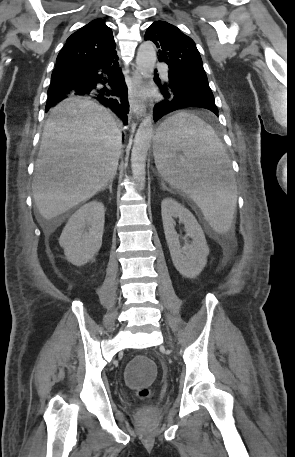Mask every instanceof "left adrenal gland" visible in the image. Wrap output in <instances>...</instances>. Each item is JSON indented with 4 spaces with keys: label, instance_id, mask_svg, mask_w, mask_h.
Listing matches in <instances>:
<instances>
[{
    "label": "left adrenal gland",
    "instance_id": "left-adrenal-gland-1",
    "mask_svg": "<svg viewBox=\"0 0 295 457\" xmlns=\"http://www.w3.org/2000/svg\"><path fill=\"white\" fill-rule=\"evenodd\" d=\"M161 187L163 190L169 191V189L166 187V185L163 183V181L161 182Z\"/></svg>",
    "mask_w": 295,
    "mask_h": 457
}]
</instances>
